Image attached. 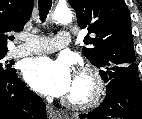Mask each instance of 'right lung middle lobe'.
<instances>
[{"label":"right lung middle lobe","instance_id":"obj_1","mask_svg":"<svg viewBox=\"0 0 142 119\" xmlns=\"http://www.w3.org/2000/svg\"><path fill=\"white\" fill-rule=\"evenodd\" d=\"M6 53L7 51L0 52V77H6L15 71V69L10 68V65L5 64L6 62L4 61V57Z\"/></svg>","mask_w":142,"mask_h":119}]
</instances>
